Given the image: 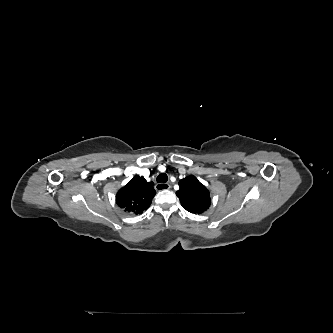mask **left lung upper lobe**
<instances>
[{
    "mask_svg": "<svg viewBox=\"0 0 333 333\" xmlns=\"http://www.w3.org/2000/svg\"><path fill=\"white\" fill-rule=\"evenodd\" d=\"M179 187L176 195L184 209L191 213L201 214L209 208L210 193L195 176L190 175L180 180Z\"/></svg>",
    "mask_w": 333,
    "mask_h": 333,
    "instance_id": "1",
    "label": "left lung upper lobe"
}]
</instances>
